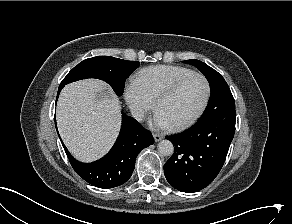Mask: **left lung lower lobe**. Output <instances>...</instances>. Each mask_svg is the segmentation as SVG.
<instances>
[{"instance_id": "obj_1", "label": "left lung lower lobe", "mask_w": 292, "mask_h": 224, "mask_svg": "<svg viewBox=\"0 0 292 224\" xmlns=\"http://www.w3.org/2000/svg\"><path fill=\"white\" fill-rule=\"evenodd\" d=\"M235 112L215 116L190 129L166 136L175 152L164 164L171 186L192 193L208 186L220 172L235 133Z\"/></svg>"}]
</instances>
